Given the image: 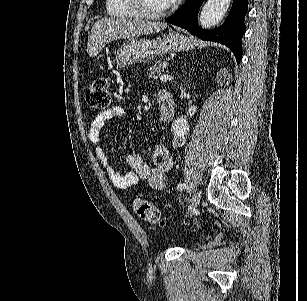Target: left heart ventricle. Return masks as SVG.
<instances>
[{"label":"left heart ventricle","mask_w":307,"mask_h":301,"mask_svg":"<svg viewBox=\"0 0 307 301\" xmlns=\"http://www.w3.org/2000/svg\"><path fill=\"white\" fill-rule=\"evenodd\" d=\"M148 3L147 13L151 11H159L160 6L163 3V0H145Z\"/></svg>","instance_id":"1"}]
</instances>
